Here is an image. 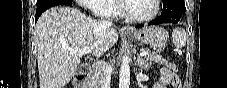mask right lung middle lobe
Segmentation results:
<instances>
[{
    "label": "right lung middle lobe",
    "mask_w": 227,
    "mask_h": 88,
    "mask_svg": "<svg viewBox=\"0 0 227 88\" xmlns=\"http://www.w3.org/2000/svg\"><path fill=\"white\" fill-rule=\"evenodd\" d=\"M72 5V0H38L37 7L43 5Z\"/></svg>",
    "instance_id": "right-lung-middle-lobe-1"
}]
</instances>
